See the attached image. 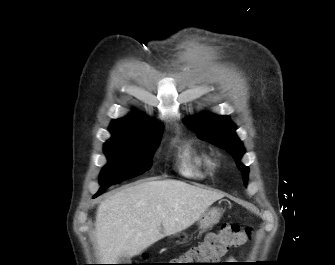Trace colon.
Returning <instances> with one entry per match:
<instances>
[{"label":"colon","mask_w":335,"mask_h":265,"mask_svg":"<svg viewBox=\"0 0 335 265\" xmlns=\"http://www.w3.org/2000/svg\"><path fill=\"white\" fill-rule=\"evenodd\" d=\"M250 227L226 224L218 232L209 234L198 246L188 250L181 259L184 265H215L234 247L245 244L251 237Z\"/></svg>","instance_id":"obj_1"}]
</instances>
